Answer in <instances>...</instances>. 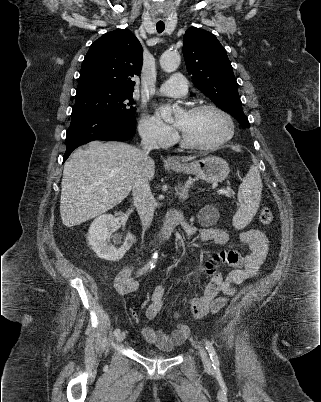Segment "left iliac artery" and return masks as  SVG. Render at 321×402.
Here are the masks:
<instances>
[{
	"instance_id": "44dca946",
	"label": "left iliac artery",
	"mask_w": 321,
	"mask_h": 402,
	"mask_svg": "<svg viewBox=\"0 0 321 402\" xmlns=\"http://www.w3.org/2000/svg\"><path fill=\"white\" fill-rule=\"evenodd\" d=\"M204 344H205V348L207 349L209 356L212 360L213 367L219 366V359H218L217 353H216L215 348L213 347L212 343L208 340H205Z\"/></svg>"
}]
</instances>
